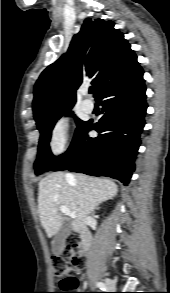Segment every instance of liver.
Returning a JSON list of instances; mask_svg holds the SVG:
<instances>
[{"label": "liver", "instance_id": "6515ba94", "mask_svg": "<svg viewBox=\"0 0 170 293\" xmlns=\"http://www.w3.org/2000/svg\"><path fill=\"white\" fill-rule=\"evenodd\" d=\"M117 192L118 186L109 179L64 172L48 174L39 182L38 193V213L47 236L55 235L63 224L60 206L75 214L70 227L79 231L88 215Z\"/></svg>", "mask_w": 170, "mask_h": 293}]
</instances>
